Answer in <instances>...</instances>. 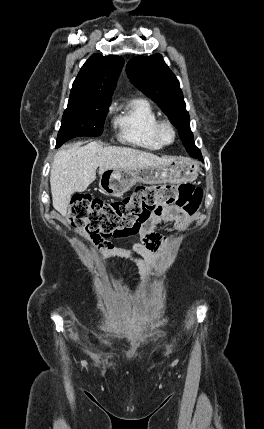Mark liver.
<instances>
[{"mask_svg":"<svg viewBox=\"0 0 264 429\" xmlns=\"http://www.w3.org/2000/svg\"><path fill=\"white\" fill-rule=\"evenodd\" d=\"M175 157H158L152 153L126 148L104 147L98 142L85 146L74 145L57 151L51 166L50 186L53 207L67 214L71 196L84 192L99 174L109 169L137 171L150 166H165Z\"/></svg>","mask_w":264,"mask_h":429,"instance_id":"liver-1","label":"liver"}]
</instances>
